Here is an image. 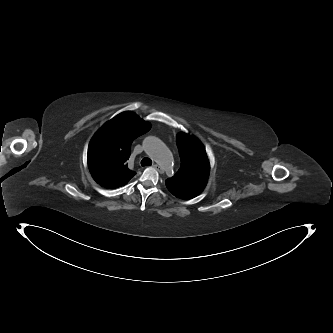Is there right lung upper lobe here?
I'll use <instances>...</instances> for the list:
<instances>
[{
  "mask_svg": "<svg viewBox=\"0 0 333 333\" xmlns=\"http://www.w3.org/2000/svg\"><path fill=\"white\" fill-rule=\"evenodd\" d=\"M151 128L135 113L125 111L105 123L88 147V167L94 180L108 189L127 184L136 174L128 168L131 143Z\"/></svg>",
  "mask_w": 333,
  "mask_h": 333,
  "instance_id": "right-lung-upper-lobe-1",
  "label": "right lung upper lobe"
}]
</instances>
